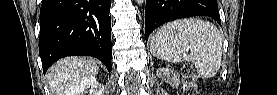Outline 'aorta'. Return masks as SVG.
Here are the masks:
<instances>
[{
    "instance_id": "aorta-1",
    "label": "aorta",
    "mask_w": 277,
    "mask_h": 95,
    "mask_svg": "<svg viewBox=\"0 0 277 95\" xmlns=\"http://www.w3.org/2000/svg\"><path fill=\"white\" fill-rule=\"evenodd\" d=\"M138 4H142L144 2V0H137L136 1Z\"/></svg>"
}]
</instances>
